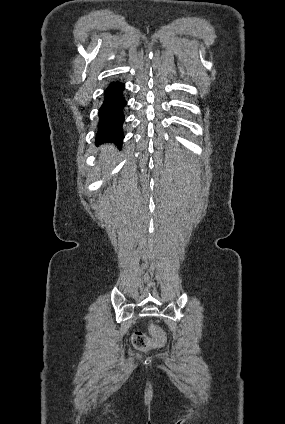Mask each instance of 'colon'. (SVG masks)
<instances>
[{
    "label": "colon",
    "instance_id": "5ec220e1",
    "mask_svg": "<svg viewBox=\"0 0 285 424\" xmlns=\"http://www.w3.org/2000/svg\"><path fill=\"white\" fill-rule=\"evenodd\" d=\"M150 331L152 337H149L142 332H136L133 335V344L136 349L140 351H147L161 347L165 343L167 336L164 329L157 325H151Z\"/></svg>",
    "mask_w": 285,
    "mask_h": 424
}]
</instances>
